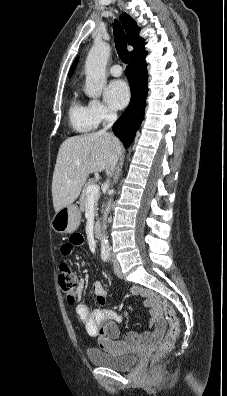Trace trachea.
Returning a JSON list of instances; mask_svg holds the SVG:
<instances>
[{"label": "trachea", "mask_w": 227, "mask_h": 396, "mask_svg": "<svg viewBox=\"0 0 227 396\" xmlns=\"http://www.w3.org/2000/svg\"><path fill=\"white\" fill-rule=\"evenodd\" d=\"M113 33L119 58L123 63L127 64L129 62V53L127 50L126 35L121 24L117 20L114 22Z\"/></svg>", "instance_id": "trachea-1"}]
</instances>
